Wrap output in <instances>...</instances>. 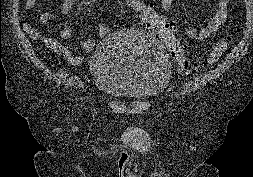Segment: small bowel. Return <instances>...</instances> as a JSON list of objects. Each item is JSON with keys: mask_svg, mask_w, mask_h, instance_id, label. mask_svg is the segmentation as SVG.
<instances>
[{"mask_svg": "<svg viewBox=\"0 0 253 177\" xmlns=\"http://www.w3.org/2000/svg\"><path fill=\"white\" fill-rule=\"evenodd\" d=\"M38 0H25V7L27 9L33 8ZM76 0H63L61 4V16H67ZM174 0H160L161 6L165 11H169ZM217 10L210 16L205 26L200 29L194 27H187L185 30L186 36L190 40L202 41L206 40L213 33H215L226 21L228 15L229 3L231 0H217ZM55 17L51 11L43 12L39 21L41 24H47ZM23 30L28 34H35L34 28L30 24H23ZM111 27L108 24L102 23L98 27V34L100 37H106L110 34ZM74 36V31L71 27L65 26L60 31L62 40H70ZM54 48L58 51L65 60L72 65H79L82 62V57L71 52L67 47L59 42H54ZM95 47L93 39H85L82 42V48L85 52H91Z\"/></svg>", "mask_w": 253, "mask_h": 177, "instance_id": "obj_1", "label": "small bowel"}]
</instances>
